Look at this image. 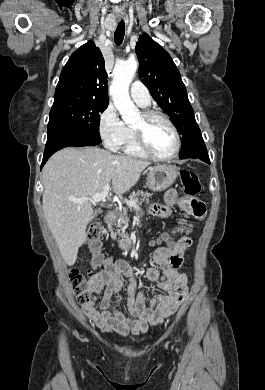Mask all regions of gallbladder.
Segmentation results:
<instances>
[{"mask_svg": "<svg viewBox=\"0 0 265 390\" xmlns=\"http://www.w3.org/2000/svg\"><path fill=\"white\" fill-rule=\"evenodd\" d=\"M97 216V211H95L92 215V217L90 218V221H93Z\"/></svg>", "mask_w": 265, "mask_h": 390, "instance_id": "gallbladder-1", "label": "gallbladder"}]
</instances>
